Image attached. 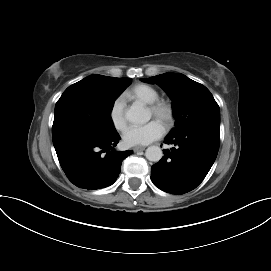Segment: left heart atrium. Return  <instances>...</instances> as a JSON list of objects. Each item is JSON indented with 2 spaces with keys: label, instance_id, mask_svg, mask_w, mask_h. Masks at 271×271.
<instances>
[{
  "label": "left heart atrium",
  "instance_id": "39dd6f15",
  "mask_svg": "<svg viewBox=\"0 0 271 271\" xmlns=\"http://www.w3.org/2000/svg\"><path fill=\"white\" fill-rule=\"evenodd\" d=\"M165 133L164 126L159 121H150L144 125H131L123 133V141L128 146L147 145Z\"/></svg>",
  "mask_w": 271,
  "mask_h": 271
}]
</instances>
